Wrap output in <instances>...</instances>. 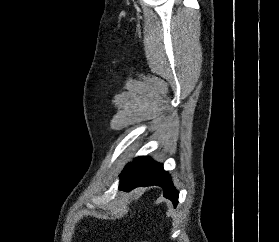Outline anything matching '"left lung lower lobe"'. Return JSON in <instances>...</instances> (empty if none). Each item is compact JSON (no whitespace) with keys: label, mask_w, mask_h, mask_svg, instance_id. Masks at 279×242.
Segmentation results:
<instances>
[{"label":"left lung lower lobe","mask_w":279,"mask_h":242,"mask_svg":"<svg viewBox=\"0 0 279 242\" xmlns=\"http://www.w3.org/2000/svg\"><path fill=\"white\" fill-rule=\"evenodd\" d=\"M158 185L163 188L164 197L170 199L174 206L178 203V191L174 188L170 175L163 165L149 157H143L134 164L120 179L119 187L130 191L139 186Z\"/></svg>","instance_id":"left-lung-lower-lobe-1"}]
</instances>
